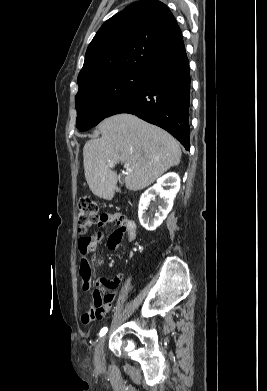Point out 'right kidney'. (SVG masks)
I'll list each match as a JSON object with an SVG mask.
<instances>
[{"mask_svg":"<svg viewBox=\"0 0 267 391\" xmlns=\"http://www.w3.org/2000/svg\"><path fill=\"white\" fill-rule=\"evenodd\" d=\"M163 186H168L167 190L163 189ZM180 189V178L178 174L170 172L162 176L157 180V183L147 189L140 198L138 216L141 225L148 231H154L160 226L163 220L167 217V214L173 207V201ZM158 195L161 199V205L156 211L155 217H150L147 213V207L151 198Z\"/></svg>","mask_w":267,"mask_h":391,"instance_id":"1","label":"right kidney"}]
</instances>
